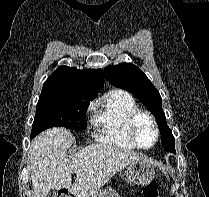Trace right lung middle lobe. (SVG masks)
I'll return each instance as SVG.
<instances>
[{"mask_svg": "<svg viewBox=\"0 0 209 197\" xmlns=\"http://www.w3.org/2000/svg\"><path fill=\"white\" fill-rule=\"evenodd\" d=\"M94 97L95 94L82 87L43 84L31 136L55 126L86 129L85 114Z\"/></svg>", "mask_w": 209, "mask_h": 197, "instance_id": "1", "label": "right lung middle lobe"}]
</instances>
